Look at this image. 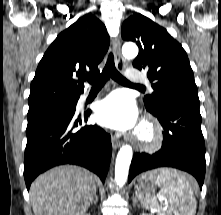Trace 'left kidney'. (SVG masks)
Returning <instances> with one entry per match:
<instances>
[{
  "mask_svg": "<svg viewBox=\"0 0 221 215\" xmlns=\"http://www.w3.org/2000/svg\"><path fill=\"white\" fill-rule=\"evenodd\" d=\"M141 215H150V214H144V213H143V214H141Z\"/></svg>",
  "mask_w": 221,
  "mask_h": 215,
  "instance_id": "left-kidney-1",
  "label": "left kidney"
}]
</instances>
